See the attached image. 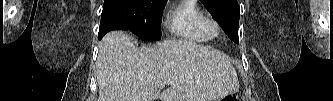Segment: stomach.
Wrapping results in <instances>:
<instances>
[{
  "mask_svg": "<svg viewBox=\"0 0 333 101\" xmlns=\"http://www.w3.org/2000/svg\"><path fill=\"white\" fill-rule=\"evenodd\" d=\"M238 96L232 92L224 97H221L220 99H218L217 101H238Z\"/></svg>",
  "mask_w": 333,
  "mask_h": 101,
  "instance_id": "0dacf381",
  "label": "stomach"
}]
</instances>
